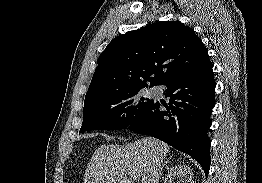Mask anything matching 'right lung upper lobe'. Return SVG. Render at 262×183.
I'll list each match as a JSON object with an SVG mask.
<instances>
[{
	"instance_id": "cb5924a9",
	"label": "right lung upper lobe",
	"mask_w": 262,
	"mask_h": 183,
	"mask_svg": "<svg viewBox=\"0 0 262 183\" xmlns=\"http://www.w3.org/2000/svg\"><path fill=\"white\" fill-rule=\"evenodd\" d=\"M207 62V49L192 28L179 21L156 22L108 44L98 58L85 102L148 83L157 86Z\"/></svg>"
}]
</instances>
